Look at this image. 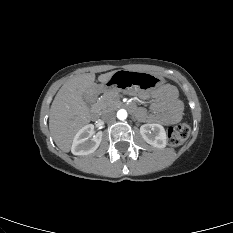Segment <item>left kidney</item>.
Instances as JSON below:
<instances>
[{
    "instance_id": "left-kidney-1",
    "label": "left kidney",
    "mask_w": 233,
    "mask_h": 233,
    "mask_svg": "<svg viewBox=\"0 0 233 233\" xmlns=\"http://www.w3.org/2000/svg\"><path fill=\"white\" fill-rule=\"evenodd\" d=\"M153 131V133L151 132ZM142 138L150 145L156 148L166 147V132L160 124H144L140 127Z\"/></svg>"
}]
</instances>
